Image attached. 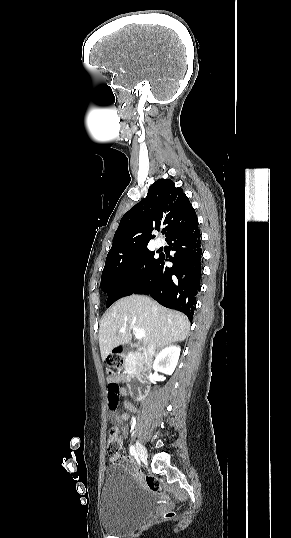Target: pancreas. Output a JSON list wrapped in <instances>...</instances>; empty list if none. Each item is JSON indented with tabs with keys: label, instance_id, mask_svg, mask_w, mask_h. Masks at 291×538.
I'll use <instances>...</instances> for the list:
<instances>
[{
	"label": "pancreas",
	"instance_id": "pancreas-1",
	"mask_svg": "<svg viewBox=\"0 0 291 538\" xmlns=\"http://www.w3.org/2000/svg\"><path fill=\"white\" fill-rule=\"evenodd\" d=\"M133 360V354L130 353L126 356V360H125V363L126 364H129L131 361Z\"/></svg>",
	"mask_w": 291,
	"mask_h": 538
}]
</instances>
